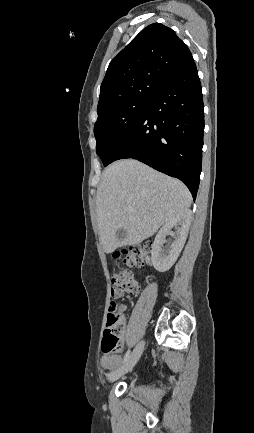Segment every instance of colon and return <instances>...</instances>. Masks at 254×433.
<instances>
[{
  "label": "colon",
  "instance_id": "colon-1",
  "mask_svg": "<svg viewBox=\"0 0 254 433\" xmlns=\"http://www.w3.org/2000/svg\"><path fill=\"white\" fill-rule=\"evenodd\" d=\"M148 250V246L143 248L134 247L117 256L122 265L111 278L112 295L116 292H126L129 294H136L138 292L139 286L134 278L132 268L143 262L144 256L147 254ZM124 327L121 306L113 299L110 303L104 332L102 346L104 353L112 354L119 349Z\"/></svg>",
  "mask_w": 254,
  "mask_h": 433
}]
</instances>
